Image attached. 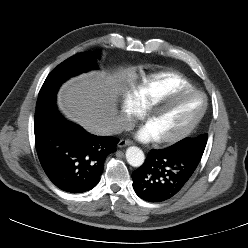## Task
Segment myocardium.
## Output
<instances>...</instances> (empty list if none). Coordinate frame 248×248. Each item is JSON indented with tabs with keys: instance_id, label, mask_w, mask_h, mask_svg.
Returning a JSON list of instances; mask_svg holds the SVG:
<instances>
[{
	"instance_id": "myocardium-1",
	"label": "myocardium",
	"mask_w": 248,
	"mask_h": 248,
	"mask_svg": "<svg viewBox=\"0 0 248 248\" xmlns=\"http://www.w3.org/2000/svg\"><path fill=\"white\" fill-rule=\"evenodd\" d=\"M198 94L203 97L204 100V105L199 113V115L191 121L185 128H183L181 131L170 135V136H165L158 138V141L162 144H173L177 143L187 136H189L195 129L196 127L200 124L202 121L203 117L206 114L207 108H208V99L207 96L204 92L197 90V89H185V90H179V91H174L168 95H165L159 99H157L154 103H152L147 110L146 113V122L148 123L151 118L156 115L158 112L162 111L163 109L166 108L171 102L175 101L178 98L185 97L188 95H194Z\"/></svg>"
}]
</instances>
